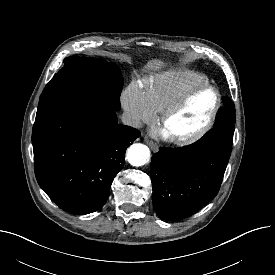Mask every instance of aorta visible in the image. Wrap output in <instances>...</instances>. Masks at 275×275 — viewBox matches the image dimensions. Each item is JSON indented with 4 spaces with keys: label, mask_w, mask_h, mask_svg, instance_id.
<instances>
[{
    "label": "aorta",
    "mask_w": 275,
    "mask_h": 275,
    "mask_svg": "<svg viewBox=\"0 0 275 275\" xmlns=\"http://www.w3.org/2000/svg\"><path fill=\"white\" fill-rule=\"evenodd\" d=\"M150 150L146 145L136 143L127 150L128 162L136 167L142 166L149 162Z\"/></svg>",
    "instance_id": "aorta-1"
}]
</instances>
